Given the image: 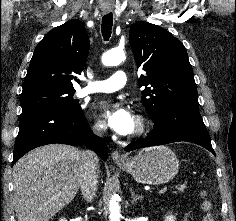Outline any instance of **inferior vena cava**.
<instances>
[{"instance_id":"obj_1","label":"inferior vena cava","mask_w":236,"mask_h":221,"mask_svg":"<svg viewBox=\"0 0 236 221\" xmlns=\"http://www.w3.org/2000/svg\"><path fill=\"white\" fill-rule=\"evenodd\" d=\"M95 134L102 136L103 132L100 128H94ZM82 176L80 181V188L83 198L87 202H91L96 196L98 178H99V158L91 150L82 152Z\"/></svg>"}]
</instances>
